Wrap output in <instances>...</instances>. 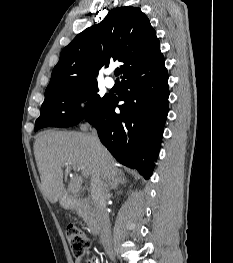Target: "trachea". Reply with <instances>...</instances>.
<instances>
[{"instance_id":"3493384b","label":"trachea","mask_w":233,"mask_h":263,"mask_svg":"<svg viewBox=\"0 0 233 263\" xmlns=\"http://www.w3.org/2000/svg\"><path fill=\"white\" fill-rule=\"evenodd\" d=\"M120 69L119 68H117L116 70H115V76H119L120 75Z\"/></svg>"}]
</instances>
